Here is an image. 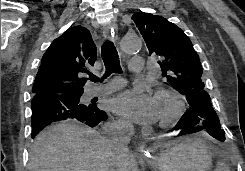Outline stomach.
<instances>
[{"label":"stomach","instance_id":"1","mask_svg":"<svg viewBox=\"0 0 245 171\" xmlns=\"http://www.w3.org/2000/svg\"><path fill=\"white\" fill-rule=\"evenodd\" d=\"M214 150L201 135L167 146L148 163L155 171H210Z\"/></svg>","mask_w":245,"mask_h":171}]
</instances>
